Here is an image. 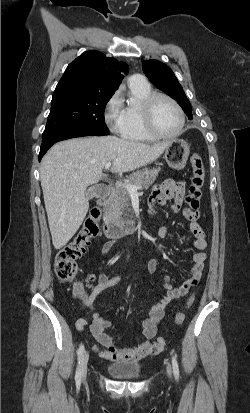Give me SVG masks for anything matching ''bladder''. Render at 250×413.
<instances>
[{"label": "bladder", "mask_w": 250, "mask_h": 413, "mask_svg": "<svg viewBox=\"0 0 250 413\" xmlns=\"http://www.w3.org/2000/svg\"><path fill=\"white\" fill-rule=\"evenodd\" d=\"M106 370L117 379H137L142 374V366L135 362L112 363L106 367Z\"/></svg>", "instance_id": "bladder-1"}]
</instances>
